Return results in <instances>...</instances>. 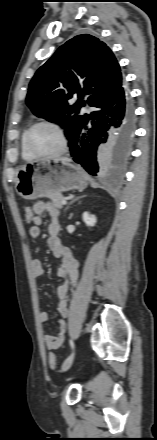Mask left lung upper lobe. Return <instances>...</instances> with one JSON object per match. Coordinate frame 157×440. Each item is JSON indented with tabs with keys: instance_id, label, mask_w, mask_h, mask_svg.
I'll list each match as a JSON object with an SVG mask.
<instances>
[{
	"instance_id": "left-lung-upper-lobe-1",
	"label": "left lung upper lobe",
	"mask_w": 157,
	"mask_h": 440,
	"mask_svg": "<svg viewBox=\"0 0 157 440\" xmlns=\"http://www.w3.org/2000/svg\"><path fill=\"white\" fill-rule=\"evenodd\" d=\"M121 86V69L110 48L98 38L82 34L67 41L37 70L26 103L36 116L60 123L70 143L88 116L78 115L85 105L83 99L95 106ZM72 97L77 102L70 105Z\"/></svg>"
}]
</instances>
